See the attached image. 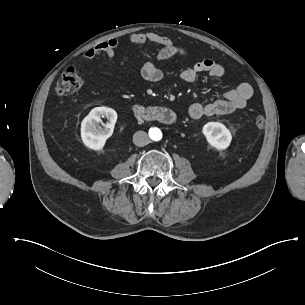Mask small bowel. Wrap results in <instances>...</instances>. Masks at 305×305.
<instances>
[{
    "mask_svg": "<svg viewBox=\"0 0 305 305\" xmlns=\"http://www.w3.org/2000/svg\"><path fill=\"white\" fill-rule=\"evenodd\" d=\"M153 43L160 46L155 58L145 63L141 68L142 77L153 83L162 81L165 73L158 67V63L167 60L173 56L179 55L187 57V49L174 45L172 40L164 35L155 32H138L131 34V42L134 44ZM119 42L111 38L104 42H98L91 49L84 51L85 59L90 60L93 56L102 55L105 52L116 48ZM208 73L212 78H221L225 75V68L220 63L211 58H205L197 61L190 67L186 68L181 78L186 83H193L199 74ZM253 95V88L247 82H242L235 88L225 92L224 99L215 100L209 103H193L188 109L190 117L194 119L203 116L225 114L234 110L242 109L246 106L248 100Z\"/></svg>",
    "mask_w": 305,
    "mask_h": 305,
    "instance_id": "1",
    "label": "small bowel"
}]
</instances>
